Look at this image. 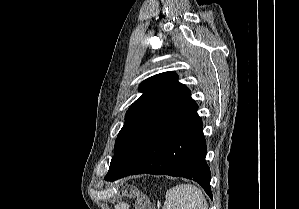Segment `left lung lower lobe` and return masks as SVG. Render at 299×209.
Instances as JSON below:
<instances>
[{
    "label": "left lung lower lobe",
    "instance_id": "obj_1",
    "mask_svg": "<svg viewBox=\"0 0 299 209\" xmlns=\"http://www.w3.org/2000/svg\"><path fill=\"white\" fill-rule=\"evenodd\" d=\"M198 106L188 88L158 108L120 148L105 180L166 174L198 182L212 199L211 172Z\"/></svg>",
    "mask_w": 299,
    "mask_h": 209
}]
</instances>
